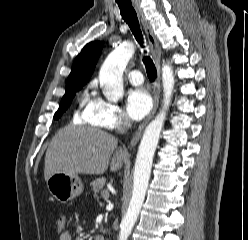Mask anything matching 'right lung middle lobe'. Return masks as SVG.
Listing matches in <instances>:
<instances>
[{"label":"right lung middle lobe","mask_w":248,"mask_h":240,"mask_svg":"<svg viewBox=\"0 0 248 240\" xmlns=\"http://www.w3.org/2000/svg\"><path fill=\"white\" fill-rule=\"evenodd\" d=\"M83 85L84 84L79 81H70L66 83V93L60 102L59 109L55 113L54 119L60 118L62 113L67 110L76 92L79 91Z\"/></svg>","instance_id":"obj_1"}]
</instances>
